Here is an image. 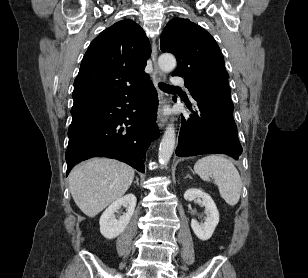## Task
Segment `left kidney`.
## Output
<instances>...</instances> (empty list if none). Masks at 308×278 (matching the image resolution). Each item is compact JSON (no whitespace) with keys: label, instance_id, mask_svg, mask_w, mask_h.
I'll list each match as a JSON object with an SVG mask.
<instances>
[{"label":"left kidney","instance_id":"obj_1","mask_svg":"<svg viewBox=\"0 0 308 278\" xmlns=\"http://www.w3.org/2000/svg\"><path fill=\"white\" fill-rule=\"evenodd\" d=\"M201 198L202 205L205 206L206 219L202 225L192 219L191 227L195 235L202 241H207L211 238L216 226L219 223V212L210 195L199 189H189L184 193V199L193 201Z\"/></svg>","mask_w":308,"mask_h":278}]
</instances>
